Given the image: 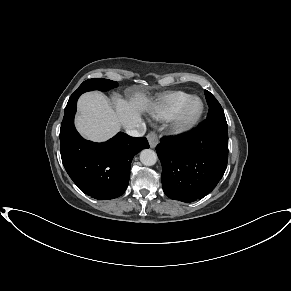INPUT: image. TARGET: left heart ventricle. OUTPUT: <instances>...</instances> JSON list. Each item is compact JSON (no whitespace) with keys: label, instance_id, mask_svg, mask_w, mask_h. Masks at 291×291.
<instances>
[{"label":"left heart ventricle","instance_id":"1","mask_svg":"<svg viewBox=\"0 0 291 291\" xmlns=\"http://www.w3.org/2000/svg\"><path fill=\"white\" fill-rule=\"evenodd\" d=\"M199 108V103L198 102H194L191 106L190 109V114H194Z\"/></svg>","mask_w":291,"mask_h":291}]
</instances>
